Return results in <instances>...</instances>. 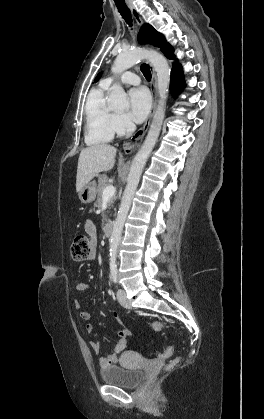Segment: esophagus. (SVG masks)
I'll use <instances>...</instances> for the list:
<instances>
[{"label":"esophagus","instance_id":"obj_1","mask_svg":"<svg viewBox=\"0 0 264 419\" xmlns=\"http://www.w3.org/2000/svg\"><path fill=\"white\" fill-rule=\"evenodd\" d=\"M129 8L131 10V13H132V15H133V17H134L137 25L140 27L143 24V20H142L140 14L134 8L133 5L129 4ZM149 66H150V70H151V74H152L151 91H152V93L154 95V99H153L151 114L148 117V119L145 121L143 127L141 128L142 133L137 137V139H136L137 141L142 140L143 137H144V135L148 131V128L150 126V123H151V120H152V117H153V114H154V111H155V108H156V75H155V71H154L153 66L151 64ZM137 145H138L137 142L136 143L126 142L123 145L124 152L126 154L132 153L134 151V149L136 148Z\"/></svg>","mask_w":264,"mask_h":419}]
</instances>
